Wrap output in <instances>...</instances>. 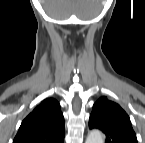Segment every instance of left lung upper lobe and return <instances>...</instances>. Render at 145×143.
Instances as JSON below:
<instances>
[{"label": "left lung upper lobe", "instance_id": "obj_1", "mask_svg": "<svg viewBox=\"0 0 145 143\" xmlns=\"http://www.w3.org/2000/svg\"><path fill=\"white\" fill-rule=\"evenodd\" d=\"M89 128L102 130L106 143H137L129 116L117 103L106 97H101L94 104Z\"/></svg>", "mask_w": 145, "mask_h": 143}]
</instances>
